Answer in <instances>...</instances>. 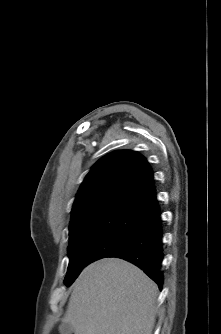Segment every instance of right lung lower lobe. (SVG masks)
<instances>
[{
  "instance_id": "98d812e1",
  "label": "right lung lower lobe",
  "mask_w": 221,
  "mask_h": 334,
  "mask_svg": "<svg viewBox=\"0 0 221 334\" xmlns=\"http://www.w3.org/2000/svg\"><path fill=\"white\" fill-rule=\"evenodd\" d=\"M162 227L159 205L156 203L135 230L106 257L127 260L142 269L159 289L163 285L160 271L163 260Z\"/></svg>"
}]
</instances>
